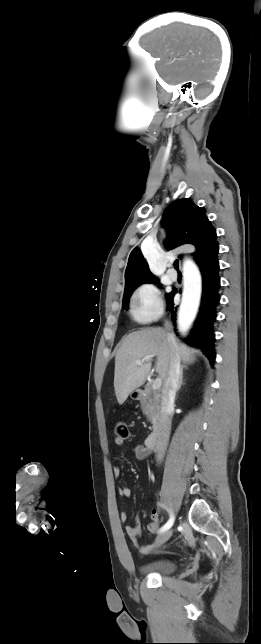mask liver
I'll return each instance as SVG.
<instances>
[{"label": "liver", "mask_w": 261, "mask_h": 644, "mask_svg": "<svg viewBox=\"0 0 261 644\" xmlns=\"http://www.w3.org/2000/svg\"><path fill=\"white\" fill-rule=\"evenodd\" d=\"M161 328H146L129 334L118 349L115 357L114 389L117 401L122 405L129 394L142 386L151 370V362L137 365V360L157 357L156 372L165 381L168 375L171 356L178 352L183 364L195 361V349L180 343ZM184 367V366H183Z\"/></svg>", "instance_id": "6515ba94"}]
</instances>
